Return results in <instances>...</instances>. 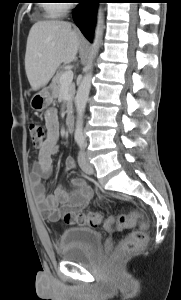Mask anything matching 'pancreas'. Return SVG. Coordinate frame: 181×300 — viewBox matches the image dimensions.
<instances>
[{"mask_svg": "<svg viewBox=\"0 0 181 300\" xmlns=\"http://www.w3.org/2000/svg\"><path fill=\"white\" fill-rule=\"evenodd\" d=\"M62 74H63V71H59L56 73V75L52 79L51 87H52L53 95L55 98L60 97L61 90L63 88L67 89L68 96L66 99V107H67V113H69L72 109V101H73V98L75 95V85L73 83H71L67 86H63L60 82V78H61Z\"/></svg>", "mask_w": 181, "mask_h": 300, "instance_id": "1", "label": "pancreas"}]
</instances>
